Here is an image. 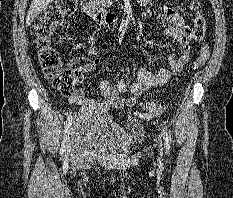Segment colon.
<instances>
[{"instance_id": "obj_1", "label": "colon", "mask_w": 233, "mask_h": 198, "mask_svg": "<svg viewBox=\"0 0 233 198\" xmlns=\"http://www.w3.org/2000/svg\"><path fill=\"white\" fill-rule=\"evenodd\" d=\"M78 0H56L54 4L45 9L43 14L34 22L31 32L37 48L38 61L46 77L59 92L70 95L81 82L82 74L79 69L63 67L59 52L52 43L53 35L66 18L74 14ZM193 10H198L199 0H190ZM206 21L201 13L195 17L192 27L193 38L200 40L205 32ZM209 58V48L204 45L193 66L192 71L202 67ZM144 109L151 115L161 114L165 104L155 100L147 101Z\"/></svg>"}]
</instances>
